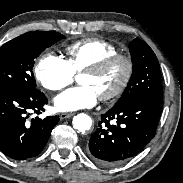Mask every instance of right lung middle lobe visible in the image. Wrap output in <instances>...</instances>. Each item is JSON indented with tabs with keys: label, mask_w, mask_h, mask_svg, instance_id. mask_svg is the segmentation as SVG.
<instances>
[{
	"label": "right lung middle lobe",
	"mask_w": 183,
	"mask_h": 183,
	"mask_svg": "<svg viewBox=\"0 0 183 183\" xmlns=\"http://www.w3.org/2000/svg\"><path fill=\"white\" fill-rule=\"evenodd\" d=\"M64 38L58 32L34 31L18 36L0 48V89L36 88L32 73L34 59Z\"/></svg>",
	"instance_id": "1"
}]
</instances>
